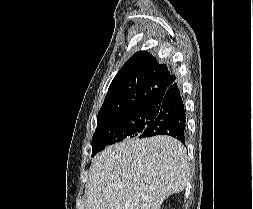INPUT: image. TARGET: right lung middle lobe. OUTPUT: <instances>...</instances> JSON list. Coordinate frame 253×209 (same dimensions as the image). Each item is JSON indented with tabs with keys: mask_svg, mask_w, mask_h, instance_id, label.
<instances>
[{
	"mask_svg": "<svg viewBox=\"0 0 253 209\" xmlns=\"http://www.w3.org/2000/svg\"><path fill=\"white\" fill-rule=\"evenodd\" d=\"M156 116L157 112L153 106H141L114 118L97 121V128L92 137V157L107 145L126 138L138 139Z\"/></svg>",
	"mask_w": 253,
	"mask_h": 209,
	"instance_id": "obj_1",
	"label": "right lung middle lobe"
}]
</instances>
